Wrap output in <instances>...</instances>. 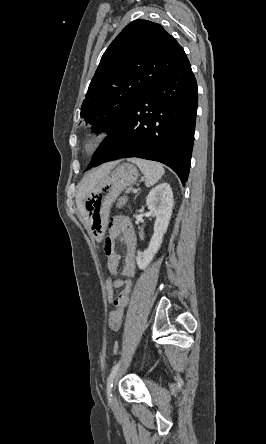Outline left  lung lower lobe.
I'll return each mask as SVG.
<instances>
[{
    "label": "left lung lower lobe",
    "instance_id": "1",
    "mask_svg": "<svg viewBox=\"0 0 266 444\" xmlns=\"http://www.w3.org/2000/svg\"><path fill=\"white\" fill-rule=\"evenodd\" d=\"M198 89L189 60L156 83L113 129L90 167L138 157L158 161L187 181L194 142Z\"/></svg>",
    "mask_w": 266,
    "mask_h": 444
}]
</instances>
